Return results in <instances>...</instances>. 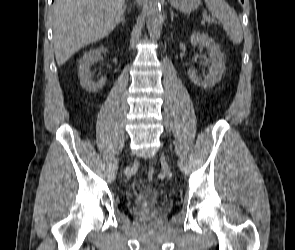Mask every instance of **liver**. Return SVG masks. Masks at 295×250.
Here are the masks:
<instances>
[{
  "label": "liver",
  "mask_w": 295,
  "mask_h": 250,
  "mask_svg": "<svg viewBox=\"0 0 295 250\" xmlns=\"http://www.w3.org/2000/svg\"><path fill=\"white\" fill-rule=\"evenodd\" d=\"M124 9L125 0H55L53 43L58 66L79 49L109 35Z\"/></svg>",
  "instance_id": "obj_1"
}]
</instances>
